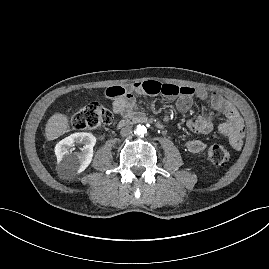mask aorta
<instances>
[{"label": "aorta", "mask_w": 269, "mask_h": 269, "mask_svg": "<svg viewBox=\"0 0 269 269\" xmlns=\"http://www.w3.org/2000/svg\"><path fill=\"white\" fill-rule=\"evenodd\" d=\"M147 132V128L144 125H137L135 128V134L138 136H144Z\"/></svg>", "instance_id": "1"}]
</instances>
